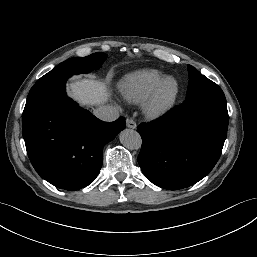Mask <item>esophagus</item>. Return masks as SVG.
I'll use <instances>...</instances> for the list:
<instances>
[{"label": "esophagus", "mask_w": 257, "mask_h": 257, "mask_svg": "<svg viewBox=\"0 0 257 257\" xmlns=\"http://www.w3.org/2000/svg\"><path fill=\"white\" fill-rule=\"evenodd\" d=\"M126 126H127L128 128H131V129H136L137 124H136V122H135L133 119L128 118V119L126 120Z\"/></svg>", "instance_id": "obj_1"}]
</instances>
